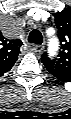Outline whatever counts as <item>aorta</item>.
Wrapping results in <instances>:
<instances>
[{
  "label": "aorta",
  "instance_id": "762f6f07",
  "mask_svg": "<svg viewBox=\"0 0 71 119\" xmlns=\"http://www.w3.org/2000/svg\"><path fill=\"white\" fill-rule=\"evenodd\" d=\"M58 48V41L57 39H52L51 40V45H50V54L54 56L56 54Z\"/></svg>",
  "mask_w": 71,
  "mask_h": 119
}]
</instances>
